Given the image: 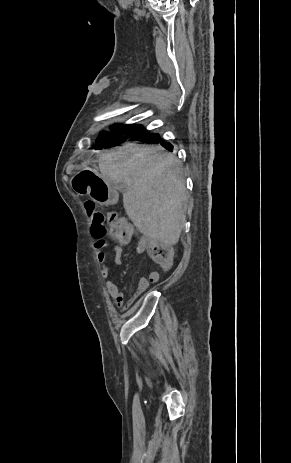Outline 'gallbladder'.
<instances>
[{
    "label": "gallbladder",
    "mask_w": 291,
    "mask_h": 463,
    "mask_svg": "<svg viewBox=\"0 0 291 463\" xmlns=\"http://www.w3.org/2000/svg\"><path fill=\"white\" fill-rule=\"evenodd\" d=\"M118 190L121 191V192H125L126 191V185L125 184H118L117 186Z\"/></svg>",
    "instance_id": "1"
}]
</instances>
